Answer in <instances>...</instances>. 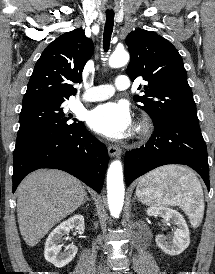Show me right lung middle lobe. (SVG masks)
Masks as SVG:
<instances>
[{
	"instance_id": "obj_1",
	"label": "right lung middle lobe",
	"mask_w": 215,
	"mask_h": 274,
	"mask_svg": "<svg viewBox=\"0 0 215 274\" xmlns=\"http://www.w3.org/2000/svg\"><path fill=\"white\" fill-rule=\"evenodd\" d=\"M63 109L64 102L54 101L22 106L13 160H17L34 145L78 126L80 122Z\"/></svg>"
}]
</instances>
